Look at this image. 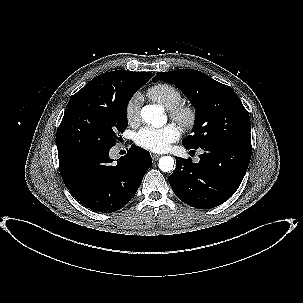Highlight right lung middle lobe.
Masks as SVG:
<instances>
[{
  "mask_svg": "<svg viewBox=\"0 0 303 303\" xmlns=\"http://www.w3.org/2000/svg\"><path fill=\"white\" fill-rule=\"evenodd\" d=\"M145 83L127 87L117 101L73 95L57 130L58 153L112 148L128 125L129 100Z\"/></svg>",
  "mask_w": 303,
  "mask_h": 303,
  "instance_id": "obj_1",
  "label": "right lung middle lobe"
}]
</instances>
